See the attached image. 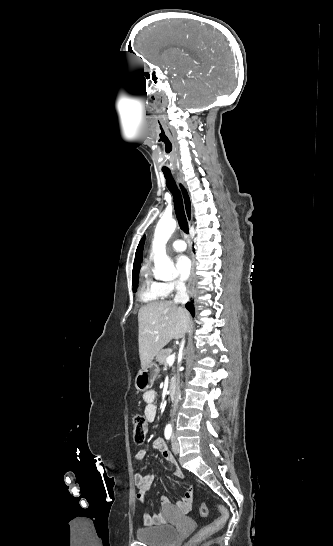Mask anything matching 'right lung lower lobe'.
Returning <instances> with one entry per match:
<instances>
[{
  "instance_id": "1",
  "label": "right lung lower lobe",
  "mask_w": 333,
  "mask_h": 546,
  "mask_svg": "<svg viewBox=\"0 0 333 546\" xmlns=\"http://www.w3.org/2000/svg\"><path fill=\"white\" fill-rule=\"evenodd\" d=\"M186 308L191 312L192 316H194V305L192 302H188L186 304Z\"/></svg>"
}]
</instances>
